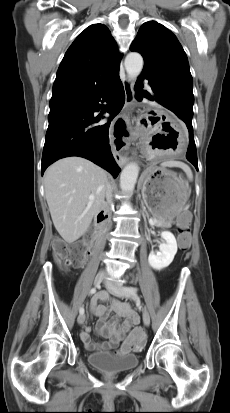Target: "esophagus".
<instances>
[{
	"instance_id": "34e87169",
	"label": "esophagus",
	"mask_w": 230,
	"mask_h": 413,
	"mask_svg": "<svg viewBox=\"0 0 230 413\" xmlns=\"http://www.w3.org/2000/svg\"><path fill=\"white\" fill-rule=\"evenodd\" d=\"M123 87H124V92H125V105L124 109L121 113L120 116L124 118V116L128 113L129 108L133 105L134 103V80L132 78H127L123 81ZM115 160L118 163L119 166H124L128 161L129 158L126 156H122L119 153H115Z\"/></svg>"
}]
</instances>
